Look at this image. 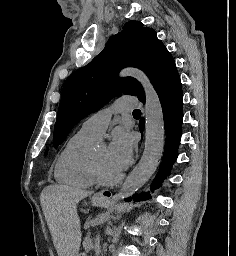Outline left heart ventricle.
Listing matches in <instances>:
<instances>
[{
	"label": "left heart ventricle",
	"instance_id": "left-heart-ventricle-1",
	"mask_svg": "<svg viewBox=\"0 0 236 256\" xmlns=\"http://www.w3.org/2000/svg\"><path fill=\"white\" fill-rule=\"evenodd\" d=\"M92 159L95 161V163L99 166L104 174L108 176H114L119 173L110 168L107 160V150L105 148L96 152Z\"/></svg>",
	"mask_w": 236,
	"mask_h": 256
}]
</instances>
